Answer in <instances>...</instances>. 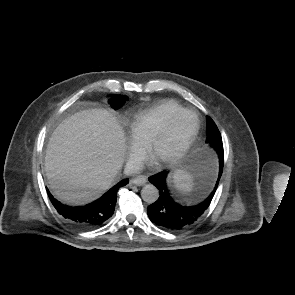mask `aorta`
I'll list each match as a JSON object with an SVG mask.
<instances>
[{
    "mask_svg": "<svg viewBox=\"0 0 295 295\" xmlns=\"http://www.w3.org/2000/svg\"><path fill=\"white\" fill-rule=\"evenodd\" d=\"M141 197L146 203L152 204L158 200L159 191L154 185L147 184L141 190Z\"/></svg>",
    "mask_w": 295,
    "mask_h": 295,
    "instance_id": "762f6f07",
    "label": "aorta"
}]
</instances>
